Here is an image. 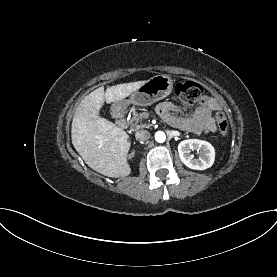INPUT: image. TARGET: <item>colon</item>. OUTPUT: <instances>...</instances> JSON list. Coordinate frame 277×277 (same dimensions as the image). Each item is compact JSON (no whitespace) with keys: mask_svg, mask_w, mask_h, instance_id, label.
Segmentation results:
<instances>
[{"mask_svg":"<svg viewBox=\"0 0 277 277\" xmlns=\"http://www.w3.org/2000/svg\"><path fill=\"white\" fill-rule=\"evenodd\" d=\"M202 87L193 81L178 82L174 86V96L185 106H192L202 97ZM219 131L222 135L228 132V122L223 112L215 115Z\"/></svg>","mask_w":277,"mask_h":277,"instance_id":"colon-1","label":"colon"}]
</instances>
